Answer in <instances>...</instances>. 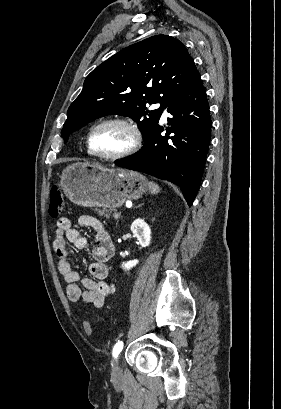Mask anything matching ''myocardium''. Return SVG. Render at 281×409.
Instances as JSON below:
<instances>
[{"label": "myocardium", "instance_id": "obj_1", "mask_svg": "<svg viewBox=\"0 0 281 409\" xmlns=\"http://www.w3.org/2000/svg\"><path fill=\"white\" fill-rule=\"evenodd\" d=\"M111 125L120 126L127 130L131 137L130 143L123 150L115 154L110 155L100 154L94 148V137L99 129ZM142 141H143L142 131L134 122L123 117H109L100 120L92 127L88 137V148L91 154L97 158L107 161H118L134 154L141 147Z\"/></svg>", "mask_w": 281, "mask_h": 409}]
</instances>
